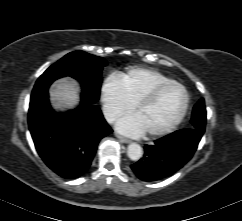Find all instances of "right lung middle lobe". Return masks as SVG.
<instances>
[{
    "instance_id": "1",
    "label": "right lung middle lobe",
    "mask_w": 242,
    "mask_h": 221,
    "mask_svg": "<svg viewBox=\"0 0 242 221\" xmlns=\"http://www.w3.org/2000/svg\"><path fill=\"white\" fill-rule=\"evenodd\" d=\"M107 62L83 51H74L65 55L49 67L37 80L32 95L47 92L50 84L61 77L71 76L82 84V95L90 101H97L102 83L101 71Z\"/></svg>"
}]
</instances>
